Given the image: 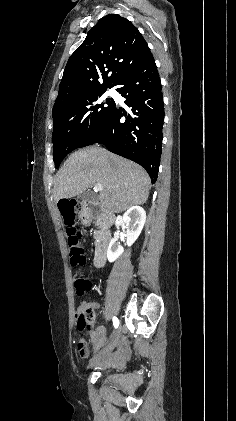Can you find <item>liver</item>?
<instances>
[{"mask_svg":"<svg viewBox=\"0 0 236 421\" xmlns=\"http://www.w3.org/2000/svg\"><path fill=\"white\" fill-rule=\"evenodd\" d=\"M90 184H102L98 198L102 211L123 213L130 206L144 204L151 178L139 164L117 156L100 146L80 148L65 160L54 178L55 200L71 198Z\"/></svg>","mask_w":236,"mask_h":421,"instance_id":"6515ba94","label":"liver"}]
</instances>
